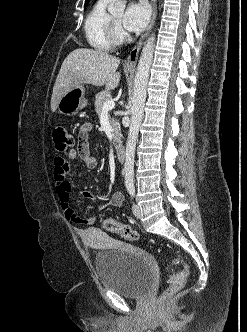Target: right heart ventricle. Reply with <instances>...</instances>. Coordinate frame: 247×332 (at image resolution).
Here are the masks:
<instances>
[{
  "label": "right heart ventricle",
  "mask_w": 247,
  "mask_h": 332,
  "mask_svg": "<svg viewBox=\"0 0 247 332\" xmlns=\"http://www.w3.org/2000/svg\"><path fill=\"white\" fill-rule=\"evenodd\" d=\"M110 0H97L89 11L85 23L84 33L87 43L97 51L106 52L112 49L106 34L108 19L107 5Z\"/></svg>",
  "instance_id": "right-heart-ventricle-1"
}]
</instances>
